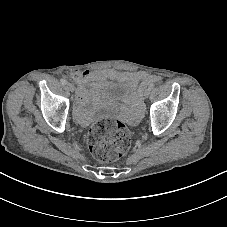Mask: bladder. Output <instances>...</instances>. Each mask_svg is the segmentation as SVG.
Returning <instances> with one entry per match:
<instances>
[{
	"mask_svg": "<svg viewBox=\"0 0 227 227\" xmlns=\"http://www.w3.org/2000/svg\"><path fill=\"white\" fill-rule=\"evenodd\" d=\"M134 92L131 84L125 82H108L101 85L98 99L104 101L128 100Z\"/></svg>",
	"mask_w": 227,
	"mask_h": 227,
	"instance_id": "obj_1",
	"label": "bladder"
}]
</instances>
